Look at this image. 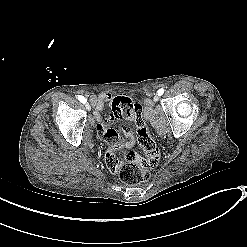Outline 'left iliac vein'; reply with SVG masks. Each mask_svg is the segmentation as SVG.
<instances>
[{
    "instance_id": "1",
    "label": "left iliac vein",
    "mask_w": 247,
    "mask_h": 247,
    "mask_svg": "<svg viewBox=\"0 0 247 247\" xmlns=\"http://www.w3.org/2000/svg\"><path fill=\"white\" fill-rule=\"evenodd\" d=\"M159 98H160V96L156 94V95L154 96V101H155V102H158Z\"/></svg>"
}]
</instances>
